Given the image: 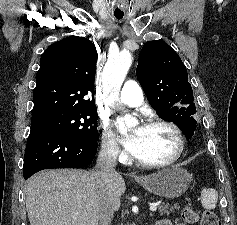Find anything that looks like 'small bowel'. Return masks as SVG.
I'll return each instance as SVG.
<instances>
[{"label":"small bowel","instance_id":"obj_1","mask_svg":"<svg viewBox=\"0 0 237 225\" xmlns=\"http://www.w3.org/2000/svg\"><path fill=\"white\" fill-rule=\"evenodd\" d=\"M156 225H173V223L168 219H161L157 222ZM176 225H185L184 223H178Z\"/></svg>","mask_w":237,"mask_h":225}]
</instances>
